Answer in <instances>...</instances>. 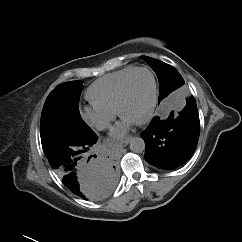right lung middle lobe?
<instances>
[{"instance_id":"right-lung-middle-lobe-1","label":"right lung middle lobe","mask_w":242,"mask_h":242,"mask_svg":"<svg viewBox=\"0 0 242 242\" xmlns=\"http://www.w3.org/2000/svg\"><path fill=\"white\" fill-rule=\"evenodd\" d=\"M81 81H70L58 85L45 101L41 115V143L43 151L51 150L93 134L83 121L78 109Z\"/></svg>"}]
</instances>
